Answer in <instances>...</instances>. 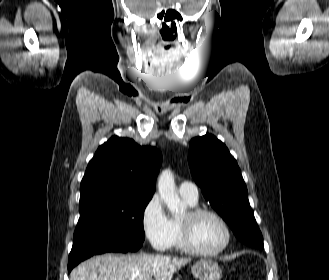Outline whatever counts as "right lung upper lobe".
I'll return each mask as SVG.
<instances>
[{
  "label": "right lung upper lobe",
  "instance_id": "obj_1",
  "mask_svg": "<svg viewBox=\"0 0 329 280\" xmlns=\"http://www.w3.org/2000/svg\"><path fill=\"white\" fill-rule=\"evenodd\" d=\"M161 159L154 147L111 137L88 164L80 185V203L120 196L152 197Z\"/></svg>",
  "mask_w": 329,
  "mask_h": 280
}]
</instances>
